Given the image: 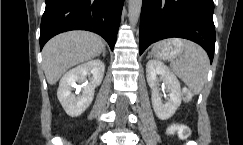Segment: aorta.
<instances>
[{"label":"aorta","instance_id":"obj_1","mask_svg":"<svg viewBox=\"0 0 243 145\" xmlns=\"http://www.w3.org/2000/svg\"><path fill=\"white\" fill-rule=\"evenodd\" d=\"M142 7V0H128L129 22L135 26L138 22Z\"/></svg>","mask_w":243,"mask_h":145}]
</instances>
